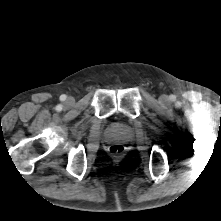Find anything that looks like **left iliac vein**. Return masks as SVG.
<instances>
[{"instance_id": "1", "label": "left iliac vein", "mask_w": 221, "mask_h": 221, "mask_svg": "<svg viewBox=\"0 0 221 221\" xmlns=\"http://www.w3.org/2000/svg\"><path fill=\"white\" fill-rule=\"evenodd\" d=\"M168 100H169V98H168L166 95H162V96L160 97V102H161V103H167Z\"/></svg>"}]
</instances>
